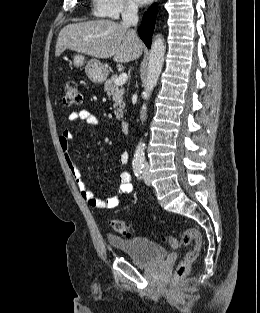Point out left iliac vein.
<instances>
[{
  "label": "left iliac vein",
  "instance_id": "4c4485c4",
  "mask_svg": "<svg viewBox=\"0 0 260 313\" xmlns=\"http://www.w3.org/2000/svg\"><path fill=\"white\" fill-rule=\"evenodd\" d=\"M143 180L144 182L149 185L150 184V175H149V170L148 168H145L143 171Z\"/></svg>",
  "mask_w": 260,
  "mask_h": 313
}]
</instances>
